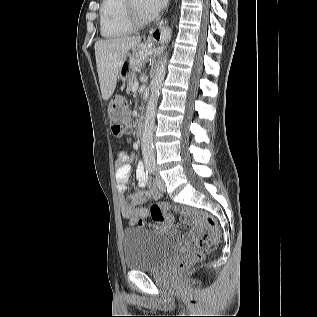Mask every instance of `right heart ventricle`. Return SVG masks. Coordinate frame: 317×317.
Returning a JSON list of instances; mask_svg holds the SVG:
<instances>
[{
  "label": "right heart ventricle",
  "mask_w": 317,
  "mask_h": 317,
  "mask_svg": "<svg viewBox=\"0 0 317 317\" xmlns=\"http://www.w3.org/2000/svg\"><path fill=\"white\" fill-rule=\"evenodd\" d=\"M134 31L130 24L125 0H102L100 7V32L106 39H116Z\"/></svg>",
  "instance_id": "obj_1"
}]
</instances>
